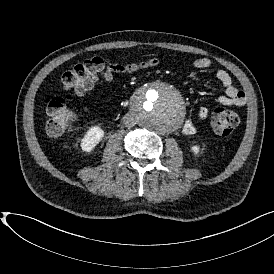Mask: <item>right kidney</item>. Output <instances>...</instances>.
Masks as SVG:
<instances>
[{
    "mask_svg": "<svg viewBox=\"0 0 274 274\" xmlns=\"http://www.w3.org/2000/svg\"><path fill=\"white\" fill-rule=\"evenodd\" d=\"M104 137V130L100 126H92L81 140V149L85 152L92 151Z\"/></svg>",
    "mask_w": 274,
    "mask_h": 274,
    "instance_id": "obj_1",
    "label": "right kidney"
}]
</instances>
